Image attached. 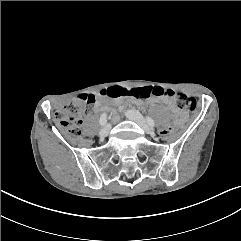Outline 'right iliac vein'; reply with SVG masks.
Masks as SVG:
<instances>
[{
    "instance_id": "obj_1",
    "label": "right iliac vein",
    "mask_w": 241,
    "mask_h": 241,
    "mask_svg": "<svg viewBox=\"0 0 241 241\" xmlns=\"http://www.w3.org/2000/svg\"><path fill=\"white\" fill-rule=\"evenodd\" d=\"M110 130H111V125L110 124L105 125L99 133L100 137H106L109 134Z\"/></svg>"
}]
</instances>
